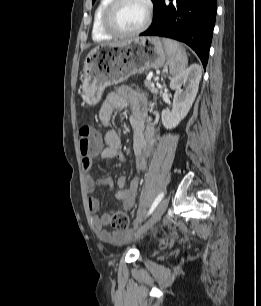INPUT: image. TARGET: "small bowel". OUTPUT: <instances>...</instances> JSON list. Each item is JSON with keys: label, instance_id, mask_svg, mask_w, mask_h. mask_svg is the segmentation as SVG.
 Instances as JSON below:
<instances>
[{"label": "small bowel", "instance_id": "obj_1", "mask_svg": "<svg viewBox=\"0 0 261 306\" xmlns=\"http://www.w3.org/2000/svg\"><path fill=\"white\" fill-rule=\"evenodd\" d=\"M129 106L132 107L130 124L133 130V150L135 154V166L138 171L145 167L146 159L150 155L155 143V131L147 115V101L144 95L131 90L128 87H121L117 91L111 92L103 102L99 119L101 123L108 126L114 114L122 111ZM105 146L100 152L103 159L125 160V155L121 151V137L114 129H108L104 134ZM83 167L87 172L85 181L86 192L88 193L87 206L89 212L93 215L92 225L97 236L108 243L121 245L130 238L127 231L109 232L105 229L110 220V214H104L100 217L95 216L100 209L99 200L94 197L97 187H103L114 194L115 198L122 203L125 210L133 209L135 205V195L140 185L138 176H134L126 186L125 176L117 178V187L115 191L114 183L111 177L94 179L91 175L93 168V158L83 159Z\"/></svg>", "mask_w": 261, "mask_h": 306}]
</instances>
